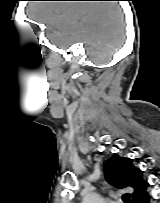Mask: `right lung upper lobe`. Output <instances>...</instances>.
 I'll return each mask as SVG.
<instances>
[{
    "label": "right lung upper lobe",
    "instance_id": "right-lung-upper-lobe-1",
    "mask_svg": "<svg viewBox=\"0 0 160 203\" xmlns=\"http://www.w3.org/2000/svg\"><path fill=\"white\" fill-rule=\"evenodd\" d=\"M105 177L116 188H131V203H139L146 196L148 183L142 179L143 172L133 165L130 158H121L114 154L104 162Z\"/></svg>",
    "mask_w": 160,
    "mask_h": 203
}]
</instances>
